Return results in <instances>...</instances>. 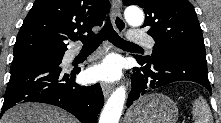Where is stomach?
I'll return each instance as SVG.
<instances>
[{"label":"stomach","instance_id":"stomach-1","mask_svg":"<svg viewBox=\"0 0 221 123\" xmlns=\"http://www.w3.org/2000/svg\"><path fill=\"white\" fill-rule=\"evenodd\" d=\"M176 103L168 96L152 93L139 98L126 113L124 123H176Z\"/></svg>","mask_w":221,"mask_h":123}]
</instances>
